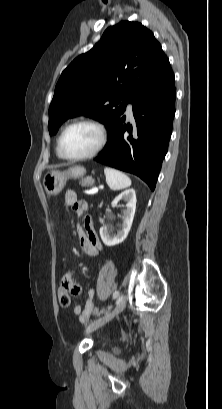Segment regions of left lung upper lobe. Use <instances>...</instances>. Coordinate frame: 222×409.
<instances>
[{"label":"left lung upper lobe","mask_w":222,"mask_h":409,"mask_svg":"<svg viewBox=\"0 0 222 409\" xmlns=\"http://www.w3.org/2000/svg\"><path fill=\"white\" fill-rule=\"evenodd\" d=\"M170 70L160 43L142 24L121 21L109 27L62 72L49 108L50 135L77 115L92 117L109 130L126 101Z\"/></svg>","instance_id":"5c2ea615"}]
</instances>
